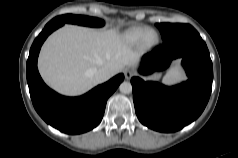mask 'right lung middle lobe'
Returning <instances> with one entry per match:
<instances>
[{
  "label": "right lung middle lobe",
  "mask_w": 238,
  "mask_h": 158,
  "mask_svg": "<svg viewBox=\"0 0 238 158\" xmlns=\"http://www.w3.org/2000/svg\"><path fill=\"white\" fill-rule=\"evenodd\" d=\"M51 21L62 22V23H72V24L91 26V27H101L104 25V21L101 19L89 17V16L73 15V14L61 15V16L55 17Z\"/></svg>",
  "instance_id": "1"
}]
</instances>
